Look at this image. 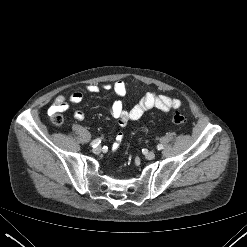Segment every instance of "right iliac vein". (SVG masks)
<instances>
[{
  "mask_svg": "<svg viewBox=\"0 0 247 247\" xmlns=\"http://www.w3.org/2000/svg\"><path fill=\"white\" fill-rule=\"evenodd\" d=\"M93 152H94L95 154L100 153V152H101V146H96V147H94V148H93Z\"/></svg>",
  "mask_w": 247,
  "mask_h": 247,
  "instance_id": "right-iliac-vein-1",
  "label": "right iliac vein"
}]
</instances>
